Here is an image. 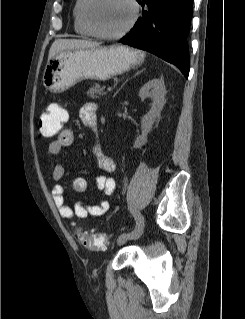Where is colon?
<instances>
[{"instance_id":"5ec220e1","label":"colon","mask_w":245,"mask_h":319,"mask_svg":"<svg viewBox=\"0 0 245 319\" xmlns=\"http://www.w3.org/2000/svg\"><path fill=\"white\" fill-rule=\"evenodd\" d=\"M67 119L66 111L60 106H52L42 113L39 117V129L43 136L51 137L63 129ZM79 242L85 248L96 250L108 245L105 235L100 233L77 232Z\"/></svg>"}]
</instances>
